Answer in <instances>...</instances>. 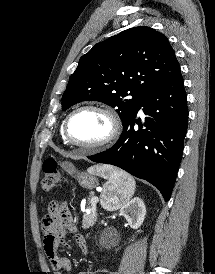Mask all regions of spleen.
<instances>
[{
	"instance_id": "obj_1",
	"label": "spleen",
	"mask_w": 215,
	"mask_h": 274,
	"mask_svg": "<svg viewBox=\"0 0 215 274\" xmlns=\"http://www.w3.org/2000/svg\"><path fill=\"white\" fill-rule=\"evenodd\" d=\"M88 172L108 180L101 194V205L108 211L126 204L135 192L134 178L123 170L108 165H97L90 167Z\"/></svg>"
}]
</instances>
